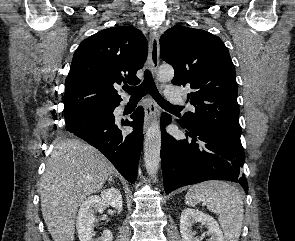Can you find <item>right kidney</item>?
Here are the masks:
<instances>
[{
    "label": "right kidney",
    "instance_id": "1",
    "mask_svg": "<svg viewBox=\"0 0 295 241\" xmlns=\"http://www.w3.org/2000/svg\"><path fill=\"white\" fill-rule=\"evenodd\" d=\"M122 196L118 189L108 188L99 195L88 197L80 206L78 211L76 227L80 241H112V233L104 230L101 237L94 239L92 233L95 213H102L106 206L116 208L118 213L122 211Z\"/></svg>",
    "mask_w": 295,
    "mask_h": 241
}]
</instances>
